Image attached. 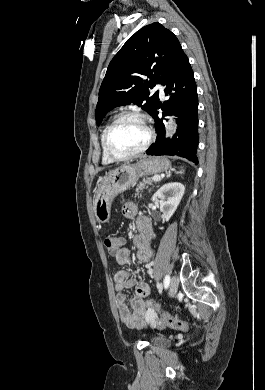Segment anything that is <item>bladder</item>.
I'll return each mask as SVG.
<instances>
[{
    "instance_id": "bladder-1",
    "label": "bladder",
    "mask_w": 265,
    "mask_h": 390,
    "mask_svg": "<svg viewBox=\"0 0 265 390\" xmlns=\"http://www.w3.org/2000/svg\"><path fill=\"white\" fill-rule=\"evenodd\" d=\"M152 344L157 347H166L170 344V340L165 337H155L152 341Z\"/></svg>"
}]
</instances>
